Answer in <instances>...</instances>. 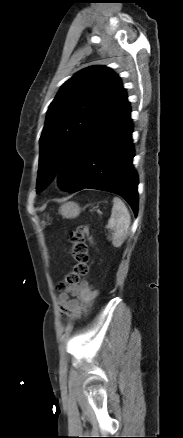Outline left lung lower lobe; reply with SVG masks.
I'll return each mask as SVG.
<instances>
[{
	"instance_id": "obj_1",
	"label": "left lung lower lobe",
	"mask_w": 183,
	"mask_h": 438,
	"mask_svg": "<svg viewBox=\"0 0 183 438\" xmlns=\"http://www.w3.org/2000/svg\"><path fill=\"white\" fill-rule=\"evenodd\" d=\"M132 131L130 103L126 101L65 159L58 172L59 186L69 192L90 188L118 194L137 215Z\"/></svg>"
}]
</instances>
